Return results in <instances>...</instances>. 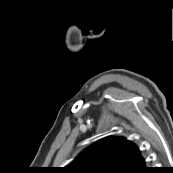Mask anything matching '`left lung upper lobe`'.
Listing matches in <instances>:
<instances>
[{
  "instance_id": "1",
  "label": "left lung upper lobe",
  "mask_w": 173,
  "mask_h": 173,
  "mask_svg": "<svg viewBox=\"0 0 173 173\" xmlns=\"http://www.w3.org/2000/svg\"><path fill=\"white\" fill-rule=\"evenodd\" d=\"M147 167L138 147L123 137H108L86 148L66 173H141Z\"/></svg>"
}]
</instances>
